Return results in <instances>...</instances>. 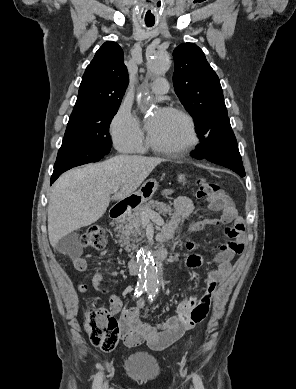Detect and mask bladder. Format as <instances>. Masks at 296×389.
<instances>
[{"label": "bladder", "mask_w": 296, "mask_h": 389, "mask_svg": "<svg viewBox=\"0 0 296 389\" xmlns=\"http://www.w3.org/2000/svg\"><path fill=\"white\" fill-rule=\"evenodd\" d=\"M126 375L135 382L143 383L155 379L160 374L157 359L144 351H134L124 361Z\"/></svg>", "instance_id": "obj_1"}]
</instances>
